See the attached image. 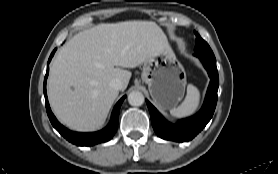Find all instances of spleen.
I'll return each instance as SVG.
<instances>
[{
  "instance_id": "1",
  "label": "spleen",
  "mask_w": 278,
  "mask_h": 174,
  "mask_svg": "<svg viewBox=\"0 0 278 174\" xmlns=\"http://www.w3.org/2000/svg\"><path fill=\"white\" fill-rule=\"evenodd\" d=\"M200 93L197 87L192 84L187 86V94L184 101L170 110V114L177 118H185L195 113L198 108Z\"/></svg>"
}]
</instances>
